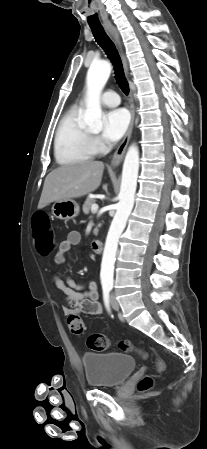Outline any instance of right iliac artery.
<instances>
[{"label": "right iliac artery", "instance_id": "82829eb1", "mask_svg": "<svg viewBox=\"0 0 207 449\" xmlns=\"http://www.w3.org/2000/svg\"><path fill=\"white\" fill-rule=\"evenodd\" d=\"M110 290L111 289L109 287L103 288V299L105 306L109 312H110Z\"/></svg>", "mask_w": 207, "mask_h": 449}]
</instances>
